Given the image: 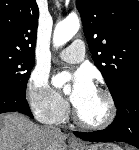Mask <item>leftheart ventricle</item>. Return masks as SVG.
<instances>
[{"label": "left heart ventricle", "instance_id": "b2bd125f", "mask_svg": "<svg viewBox=\"0 0 139 150\" xmlns=\"http://www.w3.org/2000/svg\"><path fill=\"white\" fill-rule=\"evenodd\" d=\"M75 106L80 117L88 123H100L108 113L105 98L96 90Z\"/></svg>", "mask_w": 139, "mask_h": 150}]
</instances>
